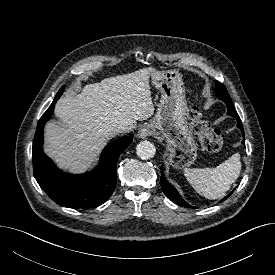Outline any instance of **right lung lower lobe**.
I'll use <instances>...</instances> for the list:
<instances>
[{
    "label": "right lung lower lobe",
    "mask_w": 275,
    "mask_h": 275,
    "mask_svg": "<svg viewBox=\"0 0 275 275\" xmlns=\"http://www.w3.org/2000/svg\"><path fill=\"white\" fill-rule=\"evenodd\" d=\"M60 96L57 93L36 128L32 148L34 177L47 195L61 206L76 209L97 207L113 193L118 159L133 139L123 136L108 144L98 166L90 173L73 175L62 172L43 152L44 125L50 119Z\"/></svg>",
    "instance_id": "1"
}]
</instances>
